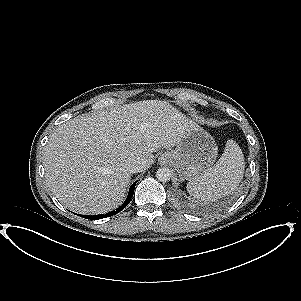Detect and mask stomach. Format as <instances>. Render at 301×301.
I'll return each mask as SVG.
<instances>
[{
	"label": "stomach",
	"mask_w": 301,
	"mask_h": 301,
	"mask_svg": "<svg viewBox=\"0 0 301 301\" xmlns=\"http://www.w3.org/2000/svg\"><path fill=\"white\" fill-rule=\"evenodd\" d=\"M167 154L185 179L194 180L212 167L218 155V147L208 132L196 123L189 122L179 144Z\"/></svg>",
	"instance_id": "stomach-1"
}]
</instances>
